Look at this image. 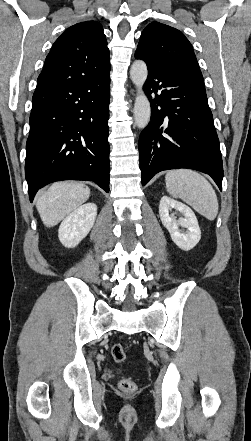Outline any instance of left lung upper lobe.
Returning <instances> with one entry per match:
<instances>
[{"label": "left lung upper lobe", "instance_id": "1", "mask_svg": "<svg viewBox=\"0 0 251 441\" xmlns=\"http://www.w3.org/2000/svg\"><path fill=\"white\" fill-rule=\"evenodd\" d=\"M135 57L151 68L179 71L203 79L193 47L185 35L159 22H152L143 30Z\"/></svg>", "mask_w": 251, "mask_h": 441}]
</instances>
